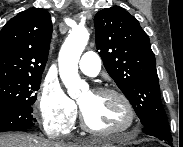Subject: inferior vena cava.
I'll list each match as a JSON object with an SVG mask.
<instances>
[{
  "instance_id": "obj_1",
  "label": "inferior vena cava",
  "mask_w": 183,
  "mask_h": 147,
  "mask_svg": "<svg viewBox=\"0 0 183 147\" xmlns=\"http://www.w3.org/2000/svg\"><path fill=\"white\" fill-rule=\"evenodd\" d=\"M49 137H50V138H54V137H55V135H50Z\"/></svg>"
}]
</instances>
